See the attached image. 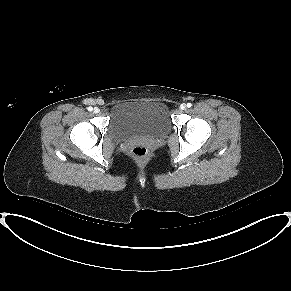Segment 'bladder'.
I'll return each instance as SVG.
<instances>
[{
    "mask_svg": "<svg viewBox=\"0 0 291 291\" xmlns=\"http://www.w3.org/2000/svg\"><path fill=\"white\" fill-rule=\"evenodd\" d=\"M171 126L170 111L160 100L123 101L113 105L109 113V133L116 139L158 135Z\"/></svg>",
    "mask_w": 291,
    "mask_h": 291,
    "instance_id": "obj_1",
    "label": "bladder"
}]
</instances>
